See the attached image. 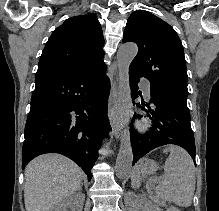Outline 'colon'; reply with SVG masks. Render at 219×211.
<instances>
[{
  "label": "colon",
  "instance_id": "obj_1",
  "mask_svg": "<svg viewBox=\"0 0 219 211\" xmlns=\"http://www.w3.org/2000/svg\"><path fill=\"white\" fill-rule=\"evenodd\" d=\"M164 211H179V210L173 205H166L164 206Z\"/></svg>",
  "mask_w": 219,
  "mask_h": 211
}]
</instances>
